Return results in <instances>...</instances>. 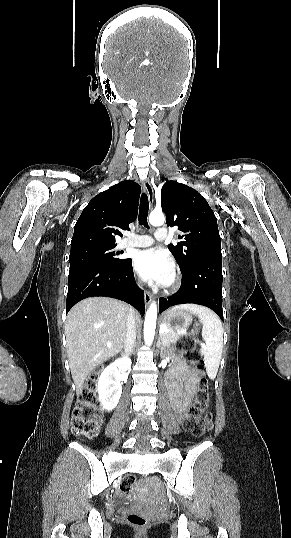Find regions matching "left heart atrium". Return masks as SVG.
<instances>
[{"instance_id":"1","label":"left heart atrium","mask_w":291,"mask_h":538,"mask_svg":"<svg viewBox=\"0 0 291 538\" xmlns=\"http://www.w3.org/2000/svg\"><path fill=\"white\" fill-rule=\"evenodd\" d=\"M137 274L145 281L165 285L173 274V263L162 251L148 249L139 251L133 259Z\"/></svg>"}]
</instances>
